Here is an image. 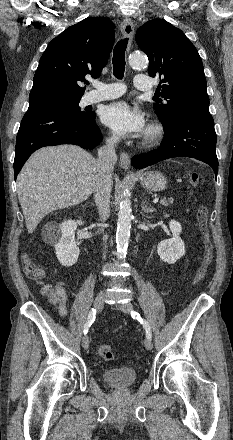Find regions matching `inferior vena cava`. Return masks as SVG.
I'll list each match as a JSON object with an SVG mask.
<instances>
[{
	"label": "inferior vena cava",
	"instance_id": "inferior-vena-cava-1",
	"mask_svg": "<svg viewBox=\"0 0 233 440\" xmlns=\"http://www.w3.org/2000/svg\"><path fill=\"white\" fill-rule=\"evenodd\" d=\"M119 137L112 136L106 140V145L98 150L97 177L94 184V198L101 220H106L110 215V197L112 187L111 172L117 161L115 146ZM104 236L103 240L106 241ZM105 257V256H104Z\"/></svg>",
	"mask_w": 233,
	"mask_h": 440
}]
</instances>
